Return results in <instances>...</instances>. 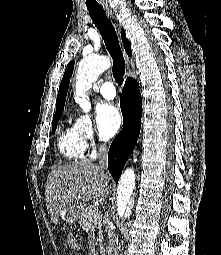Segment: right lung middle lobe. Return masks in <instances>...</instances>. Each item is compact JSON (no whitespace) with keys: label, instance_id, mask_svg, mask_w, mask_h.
<instances>
[{"label":"right lung middle lobe","instance_id":"right-lung-middle-lobe-1","mask_svg":"<svg viewBox=\"0 0 221 255\" xmlns=\"http://www.w3.org/2000/svg\"><path fill=\"white\" fill-rule=\"evenodd\" d=\"M63 111L60 112H56L55 115L53 116V123H52V132H54L57 128V123L60 119V116L62 114Z\"/></svg>","mask_w":221,"mask_h":255}]
</instances>
